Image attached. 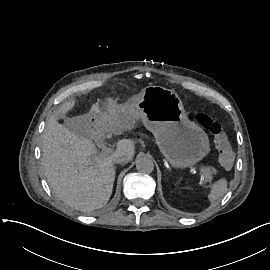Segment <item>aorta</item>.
Here are the masks:
<instances>
[{"label":"aorta","mask_w":270,"mask_h":270,"mask_svg":"<svg viewBox=\"0 0 270 270\" xmlns=\"http://www.w3.org/2000/svg\"><path fill=\"white\" fill-rule=\"evenodd\" d=\"M136 168L142 174H149L154 170V163L149 157L140 156L136 160Z\"/></svg>","instance_id":"aorta-1"}]
</instances>
